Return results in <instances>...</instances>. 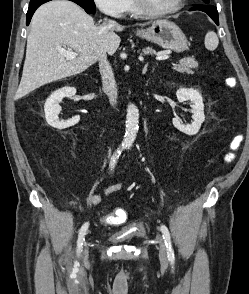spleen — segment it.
<instances>
[{
    "label": "spleen",
    "mask_w": 249,
    "mask_h": 294,
    "mask_svg": "<svg viewBox=\"0 0 249 294\" xmlns=\"http://www.w3.org/2000/svg\"><path fill=\"white\" fill-rule=\"evenodd\" d=\"M219 39L215 32L208 31L205 36V47L208 50H215L218 46Z\"/></svg>",
    "instance_id": "obj_1"
}]
</instances>
